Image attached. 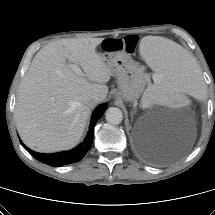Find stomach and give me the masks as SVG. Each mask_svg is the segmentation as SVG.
<instances>
[{
	"label": "stomach",
	"instance_id": "1",
	"mask_svg": "<svg viewBox=\"0 0 215 215\" xmlns=\"http://www.w3.org/2000/svg\"><path fill=\"white\" fill-rule=\"evenodd\" d=\"M101 57L117 78L115 97L130 102L137 100L145 87L144 68L124 51L104 52Z\"/></svg>",
	"mask_w": 215,
	"mask_h": 215
}]
</instances>
